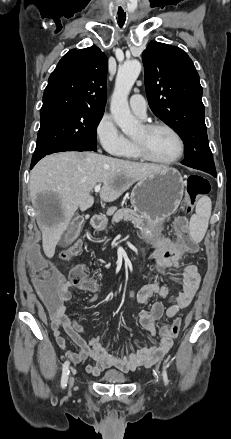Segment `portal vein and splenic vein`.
Returning a JSON list of instances; mask_svg holds the SVG:
<instances>
[{
	"label": "portal vein and splenic vein",
	"instance_id": "portal-vein-and-splenic-vein-1",
	"mask_svg": "<svg viewBox=\"0 0 231 439\" xmlns=\"http://www.w3.org/2000/svg\"><path fill=\"white\" fill-rule=\"evenodd\" d=\"M100 189H101V186L99 184L94 187V191L96 193H98L100 191Z\"/></svg>",
	"mask_w": 231,
	"mask_h": 439
}]
</instances>
